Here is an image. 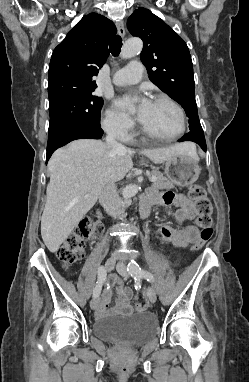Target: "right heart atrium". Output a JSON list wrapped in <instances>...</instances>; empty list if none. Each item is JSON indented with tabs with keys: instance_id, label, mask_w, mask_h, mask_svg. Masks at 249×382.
I'll list each match as a JSON object with an SVG mask.
<instances>
[{
	"instance_id": "obj_1",
	"label": "right heart atrium",
	"mask_w": 249,
	"mask_h": 382,
	"mask_svg": "<svg viewBox=\"0 0 249 382\" xmlns=\"http://www.w3.org/2000/svg\"><path fill=\"white\" fill-rule=\"evenodd\" d=\"M102 126L108 134L122 140H129L135 129L134 122L114 108L106 110Z\"/></svg>"
}]
</instances>
